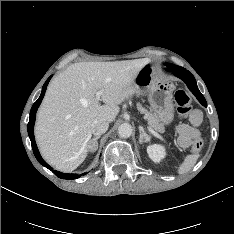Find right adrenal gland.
<instances>
[{"mask_svg": "<svg viewBox=\"0 0 234 234\" xmlns=\"http://www.w3.org/2000/svg\"><path fill=\"white\" fill-rule=\"evenodd\" d=\"M100 138V136H96V137H94L92 140H90V145H89V147H90V150L91 151H94L97 147H98V142H97V140ZM91 143L93 144V145H91ZM94 147V148H93Z\"/></svg>", "mask_w": 234, "mask_h": 234, "instance_id": "2a0ac1e0", "label": "right adrenal gland"}]
</instances>
